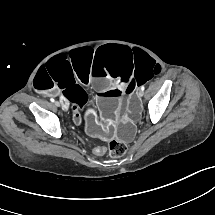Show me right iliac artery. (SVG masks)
Returning <instances> with one entry per match:
<instances>
[{
  "label": "right iliac artery",
  "instance_id": "82829eb1",
  "mask_svg": "<svg viewBox=\"0 0 215 215\" xmlns=\"http://www.w3.org/2000/svg\"><path fill=\"white\" fill-rule=\"evenodd\" d=\"M50 100H51V102H54V99L51 98Z\"/></svg>",
  "mask_w": 215,
  "mask_h": 215
}]
</instances>
